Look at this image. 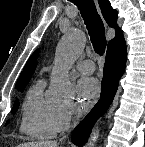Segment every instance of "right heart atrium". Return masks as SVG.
Returning a JSON list of instances; mask_svg holds the SVG:
<instances>
[{"instance_id":"1","label":"right heart atrium","mask_w":145,"mask_h":147,"mask_svg":"<svg viewBox=\"0 0 145 147\" xmlns=\"http://www.w3.org/2000/svg\"><path fill=\"white\" fill-rule=\"evenodd\" d=\"M77 115L78 111L74 106L59 109L56 117V132H64L70 128Z\"/></svg>"}]
</instances>
